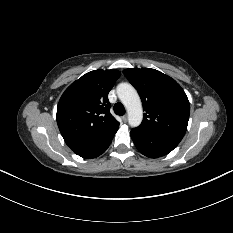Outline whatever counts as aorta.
Here are the masks:
<instances>
[{
	"mask_svg": "<svg viewBox=\"0 0 233 233\" xmlns=\"http://www.w3.org/2000/svg\"><path fill=\"white\" fill-rule=\"evenodd\" d=\"M117 95L127 109L129 125L139 126L143 119V108L136 89L129 83H120L117 86Z\"/></svg>",
	"mask_w": 233,
	"mask_h": 233,
	"instance_id": "obj_1",
	"label": "aorta"
}]
</instances>
